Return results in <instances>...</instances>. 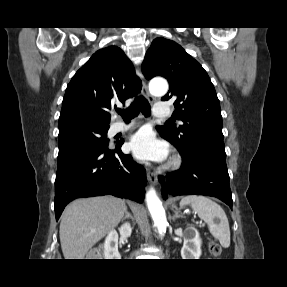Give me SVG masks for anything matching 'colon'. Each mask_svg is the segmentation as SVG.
<instances>
[{
  "mask_svg": "<svg viewBox=\"0 0 287 287\" xmlns=\"http://www.w3.org/2000/svg\"><path fill=\"white\" fill-rule=\"evenodd\" d=\"M208 250H209L210 254L214 257H218L222 252L221 246L218 243L213 242V241L209 242Z\"/></svg>",
  "mask_w": 287,
  "mask_h": 287,
  "instance_id": "1",
  "label": "colon"
}]
</instances>
